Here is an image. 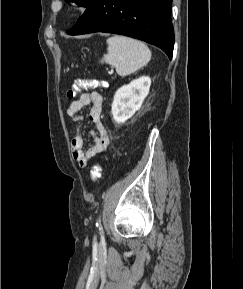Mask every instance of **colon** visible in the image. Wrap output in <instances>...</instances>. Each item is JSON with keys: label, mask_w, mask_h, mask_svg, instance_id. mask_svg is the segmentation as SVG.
<instances>
[{"label": "colon", "mask_w": 243, "mask_h": 289, "mask_svg": "<svg viewBox=\"0 0 243 289\" xmlns=\"http://www.w3.org/2000/svg\"><path fill=\"white\" fill-rule=\"evenodd\" d=\"M100 85V83L96 80L92 79H82L78 78L76 79L71 87L67 91L68 98L75 97L78 93L81 92L82 89L87 88H94ZM101 176V167L100 165L96 164L92 167L90 171V177L93 182H96Z\"/></svg>", "instance_id": "1"}]
</instances>
